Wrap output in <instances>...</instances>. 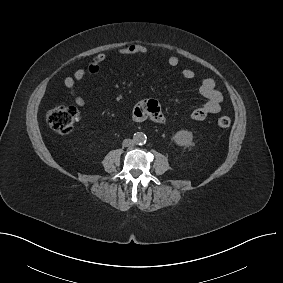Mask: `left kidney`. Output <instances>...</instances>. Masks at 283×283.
<instances>
[{
    "mask_svg": "<svg viewBox=\"0 0 283 283\" xmlns=\"http://www.w3.org/2000/svg\"><path fill=\"white\" fill-rule=\"evenodd\" d=\"M173 140L179 146H188L192 144L193 134L190 131L181 130L173 136Z\"/></svg>",
    "mask_w": 283,
    "mask_h": 283,
    "instance_id": "left-kidney-1",
    "label": "left kidney"
}]
</instances>
